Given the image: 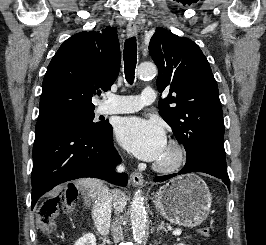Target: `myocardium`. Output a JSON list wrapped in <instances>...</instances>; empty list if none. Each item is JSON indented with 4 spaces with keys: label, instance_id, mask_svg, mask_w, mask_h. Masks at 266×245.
<instances>
[{
    "label": "myocardium",
    "instance_id": "f54148a6",
    "mask_svg": "<svg viewBox=\"0 0 266 245\" xmlns=\"http://www.w3.org/2000/svg\"><path fill=\"white\" fill-rule=\"evenodd\" d=\"M167 145L175 149L176 156L174 160L167 164L156 161L153 165V168L159 173L172 174L182 167L186 158V151L184 146L175 139H171L170 141H168Z\"/></svg>",
    "mask_w": 266,
    "mask_h": 245
}]
</instances>
